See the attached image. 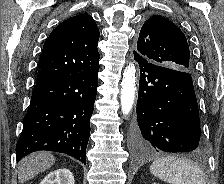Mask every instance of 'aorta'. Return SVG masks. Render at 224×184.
Listing matches in <instances>:
<instances>
[{
    "instance_id": "762f6f07",
    "label": "aorta",
    "mask_w": 224,
    "mask_h": 184,
    "mask_svg": "<svg viewBox=\"0 0 224 184\" xmlns=\"http://www.w3.org/2000/svg\"><path fill=\"white\" fill-rule=\"evenodd\" d=\"M136 90V68L134 64H129L123 72L121 82V110L124 115H128L133 108Z\"/></svg>"
}]
</instances>
